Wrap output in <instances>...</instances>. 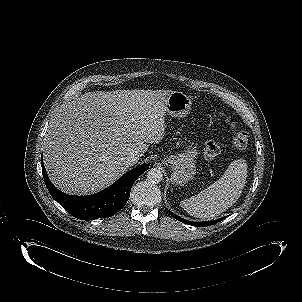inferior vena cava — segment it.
<instances>
[{
  "label": "inferior vena cava",
  "mask_w": 302,
  "mask_h": 302,
  "mask_svg": "<svg viewBox=\"0 0 302 302\" xmlns=\"http://www.w3.org/2000/svg\"><path fill=\"white\" fill-rule=\"evenodd\" d=\"M140 155L136 152H129L125 157V162L127 165L132 166L136 164L139 160Z\"/></svg>",
  "instance_id": "602c4592"
}]
</instances>
